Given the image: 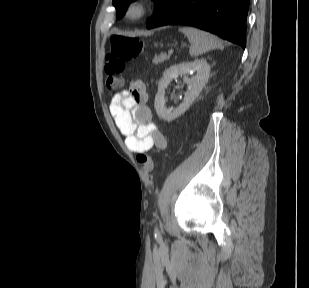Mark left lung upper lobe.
<instances>
[{"instance_id":"left-lung-upper-lobe-1","label":"left lung upper lobe","mask_w":309,"mask_h":288,"mask_svg":"<svg viewBox=\"0 0 309 288\" xmlns=\"http://www.w3.org/2000/svg\"><path fill=\"white\" fill-rule=\"evenodd\" d=\"M135 0H113V5L117 10V18L120 19L127 10V6ZM155 12L152 16L159 14L172 0H154Z\"/></svg>"}]
</instances>
